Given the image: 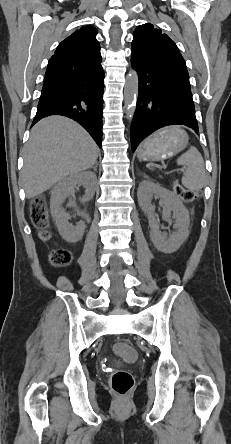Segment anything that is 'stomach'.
Masks as SVG:
<instances>
[{
	"instance_id": "1",
	"label": "stomach",
	"mask_w": 231,
	"mask_h": 444,
	"mask_svg": "<svg viewBox=\"0 0 231 444\" xmlns=\"http://www.w3.org/2000/svg\"><path fill=\"white\" fill-rule=\"evenodd\" d=\"M187 133L179 127H167L149 137L139 148L140 160L159 161L182 151L188 144Z\"/></svg>"
}]
</instances>
